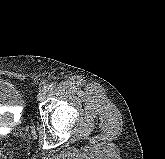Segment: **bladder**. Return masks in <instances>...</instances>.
I'll return each mask as SVG.
<instances>
[{"mask_svg": "<svg viewBox=\"0 0 165 159\" xmlns=\"http://www.w3.org/2000/svg\"><path fill=\"white\" fill-rule=\"evenodd\" d=\"M23 97L17 87L5 80H0V107H19Z\"/></svg>", "mask_w": 165, "mask_h": 159, "instance_id": "31cf9c89", "label": "bladder"}]
</instances>
